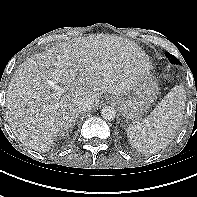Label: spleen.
<instances>
[{
    "mask_svg": "<svg viewBox=\"0 0 197 197\" xmlns=\"http://www.w3.org/2000/svg\"><path fill=\"white\" fill-rule=\"evenodd\" d=\"M185 102L184 87H173L148 117L129 125L127 136L131 145L141 153H154L166 147L180 127Z\"/></svg>",
    "mask_w": 197,
    "mask_h": 197,
    "instance_id": "obj_1",
    "label": "spleen"
}]
</instances>
